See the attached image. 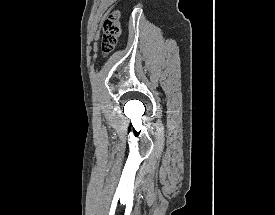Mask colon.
Listing matches in <instances>:
<instances>
[{
    "mask_svg": "<svg viewBox=\"0 0 275 215\" xmlns=\"http://www.w3.org/2000/svg\"><path fill=\"white\" fill-rule=\"evenodd\" d=\"M121 34L119 23V12L114 10L110 12L104 21L101 38V50L103 54L108 55L115 48Z\"/></svg>",
    "mask_w": 275,
    "mask_h": 215,
    "instance_id": "colon-1",
    "label": "colon"
}]
</instances>
